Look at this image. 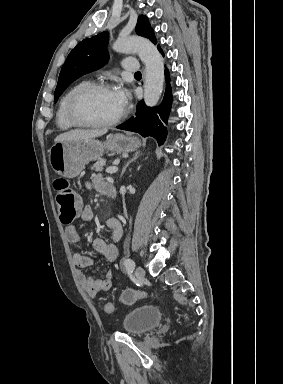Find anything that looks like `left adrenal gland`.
Returning <instances> with one entry per match:
<instances>
[{
	"label": "left adrenal gland",
	"instance_id": "1",
	"mask_svg": "<svg viewBox=\"0 0 283 384\" xmlns=\"http://www.w3.org/2000/svg\"><path fill=\"white\" fill-rule=\"evenodd\" d=\"M140 154H141V152H135L132 160H129V162H127L126 166H124V168H123V170L121 172L120 178H122L124 172H126V168H128L129 164H131V162H134V160H137V158H139Z\"/></svg>",
	"mask_w": 283,
	"mask_h": 384
}]
</instances>
